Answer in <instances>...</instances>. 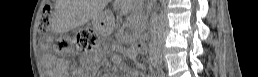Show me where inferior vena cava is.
<instances>
[{"mask_svg": "<svg viewBox=\"0 0 258 77\" xmlns=\"http://www.w3.org/2000/svg\"><path fill=\"white\" fill-rule=\"evenodd\" d=\"M155 17H157L156 13L153 14V18L155 19Z\"/></svg>", "mask_w": 258, "mask_h": 77, "instance_id": "obj_1", "label": "inferior vena cava"}]
</instances>
